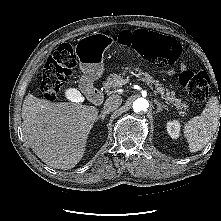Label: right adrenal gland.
<instances>
[{
    "instance_id": "obj_1",
    "label": "right adrenal gland",
    "mask_w": 221,
    "mask_h": 221,
    "mask_svg": "<svg viewBox=\"0 0 221 221\" xmlns=\"http://www.w3.org/2000/svg\"><path fill=\"white\" fill-rule=\"evenodd\" d=\"M108 114H109V112H104V111L101 112L100 115L97 116L95 122H97L98 120H101L103 122L105 120L106 115H108Z\"/></svg>"
}]
</instances>
